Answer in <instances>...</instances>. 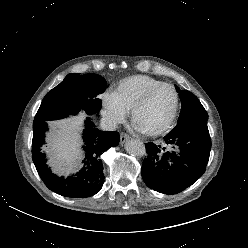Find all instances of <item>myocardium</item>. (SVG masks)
Returning <instances> with one entry per match:
<instances>
[{
  "mask_svg": "<svg viewBox=\"0 0 248 248\" xmlns=\"http://www.w3.org/2000/svg\"><path fill=\"white\" fill-rule=\"evenodd\" d=\"M162 87H169L173 90V92H174V106H173V110H172V113H171L168 121L162 127L158 128L156 130H153V131H142L145 135L150 136V137L160 136V135L166 133L167 131H169L172 128V126L174 125L177 114H178L179 102H180L179 93H178V90L176 89V87L174 85H172L170 83H166V82H162L158 85L153 86L139 99V101L134 105V107L131 110V121L134 124L137 114L147 105V103L149 102L152 95Z\"/></svg>",
  "mask_w": 248,
  "mask_h": 248,
  "instance_id": "f54148a6",
  "label": "myocardium"
}]
</instances>
